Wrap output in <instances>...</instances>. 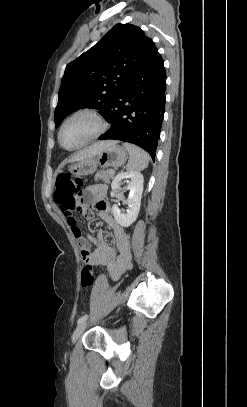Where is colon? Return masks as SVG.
Returning <instances> with one entry per match:
<instances>
[{
    "label": "colon",
    "instance_id": "colon-1",
    "mask_svg": "<svg viewBox=\"0 0 247 407\" xmlns=\"http://www.w3.org/2000/svg\"><path fill=\"white\" fill-rule=\"evenodd\" d=\"M82 180L73 177L70 173H61L56 178L54 199L58 203L75 199L82 188ZM95 281L93 265L87 264L81 272V285L84 289L90 288Z\"/></svg>",
    "mask_w": 247,
    "mask_h": 407
}]
</instances>
